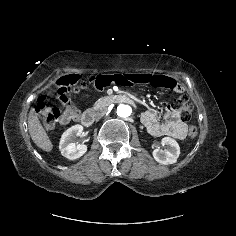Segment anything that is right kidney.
Instances as JSON below:
<instances>
[{
	"instance_id": "right-kidney-1",
	"label": "right kidney",
	"mask_w": 236,
	"mask_h": 236,
	"mask_svg": "<svg viewBox=\"0 0 236 236\" xmlns=\"http://www.w3.org/2000/svg\"><path fill=\"white\" fill-rule=\"evenodd\" d=\"M83 132V126L74 125L67 129L60 139L59 149L62 156L69 160H75L83 156L87 151V145L76 144L74 139L81 136Z\"/></svg>"
}]
</instances>
